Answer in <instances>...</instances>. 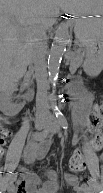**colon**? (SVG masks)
<instances>
[{"mask_svg": "<svg viewBox=\"0 0 103 193\" xmlns=\"http://www.w3.org/2000/svg\"><path fill=\"white\" fill-rule=\"evenodd\" d=\"M103 105L96 104L94 111L89 117V124L93 134L91 139V147L94 150H100L103 144ZM8 129L3 127L1 129L0 145H3L4 140L7 138ZM70 169L74 172L83 171L86 168V155L82 151H76L70 158Z\"/></svg>", "mask_w": 103, "mask_h": 193, "instance_id": "obj_1", "label": "colon"}]
</instances>
